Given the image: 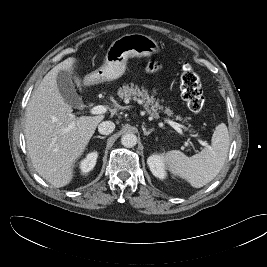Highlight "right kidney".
I'll list each match as a JSON object with an SVG mask.
<instances>
[{"label":"right kidney","mask_w":267,"mask_h":267,"mask_svg":"<svg viewBox=\"0 0 267 267\" xmlns=\"http://www.w3.org/2000/svg\"><path fill=\"white\" fill-rule=\"evenodd\" d=\"M97 157H98V153L94 151V152L87 154L86 158L81 161L80 169L83 175L87 174L94 168Z\"/></svg>","instance_id":"1"}]
</instances>
